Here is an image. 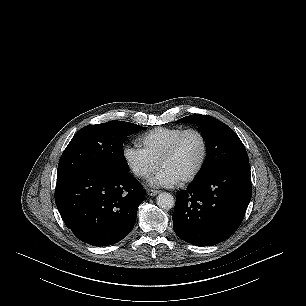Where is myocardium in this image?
Returning <instances> with one entry per match:
<instances>
[{
    "label": "myocardium",
    "mask_w": 306,
    "mask_h": 306,
    "mask_svg": "<svg viewBox=\"0 0 306 306\" xmlns=\"http://www.w3.org/2000/svg\"><path fill=\"white\" fill-rule=\"evenodd\" d=\"M189 133H195L201 139V142H202V156H201L200 162L197 165V167L195 168V170L190 175H188L187 177L182 179L181 180L182 183H189V182H192L193 180H195L199 176V174L202 172V170L205 166L207 156H208V142H207V139H206V137H205V135L202 131H200L199 129H196V128L184 129L173 140V142L170 144V146L165 151V153L162 155V157L159 161V164L161 166L166 160L170 159L176 153L182 139Z\"/></svg>",
    "instance_id": "f54148a6"
}]
</instances>
